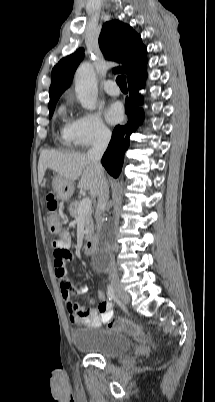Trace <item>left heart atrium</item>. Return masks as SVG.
I'll return each mask as SVG.
<instances>
[{"mask_svg": "<svg viewBox=\"0 0 215 402\" xmlns=\"http://www.w3.org/2000/svg\"><path fill=\"white\" fill-rule=\"evenodd\" d=\"M105 117L107 121L111 124H116L123 118V107L120 102L111 103L106 111Z\"/></svg>", "mask_w": 215, "mask_h": 402, "instance_id": "left-heart-atrium-1", "label": "left heart atrium"}]
</instances>
